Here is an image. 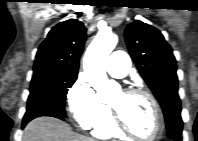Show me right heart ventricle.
<instances>
[{
    "label": "right heart ventricle",
    "mask_w": 198,
    "mask_h": 141,
    "mask_svg": "<svg viewBox=\"0 0 198 141\" xmlns=\"http://www.w3.org/2000/svg\"><path fill=\"white\" fill-rule=\"evenodd\" d=\"M92 133L99 138H122L124 136L116 128L110 112L103 121L93 128Z\"/></svg>",
    "instance_id": "right-heart-ventricle-1"
}]
</instances>
